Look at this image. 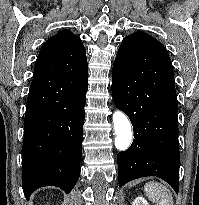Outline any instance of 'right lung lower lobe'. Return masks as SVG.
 <instances>
[{"mask_svg": "<svg viewBox=\"0 0 199 205\" xmlns=\"http://www.w3.org/2000/svg\"><path fill=\"white\" fill-rule=\"evenodd\" d=\"M32 82L24 119L22 187L28 200L40 187L69 193L80 175L88 74L65 78L62 90Z\"/></svg>", "mask_w": 199, "mask_h": 205, "instance_id": "obj_1", "label": "right lung lower lobe"}]
</instances>
